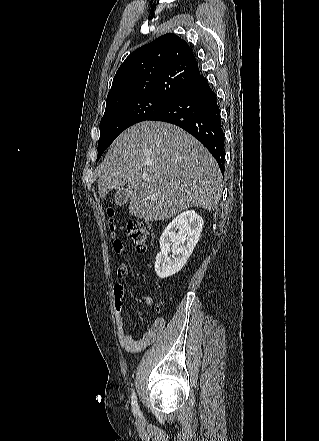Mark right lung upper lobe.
I'll return each mask as SVG.
<instances>
[{
    "mask_svg": "<svg viewBox=\"0 0 319 441\" xmlns=\"http://www.w3.org/2000/svg\"><path fill=\"white\" fill-rule=\"evenodd\" d=\"M199 75L198 63L187 42L173 33L162 35L125 59L114 76L106 109L145 96L172 100Z\"/></svg>",
    "mask_w": 319,
    "mask_h": 441,
    "instance_id": "right-lung-upper-lobe-1",
    "label": "right lung upper lobe"
}]
</instances>
